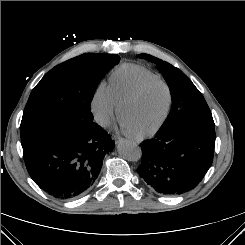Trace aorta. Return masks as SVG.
<instances>
[{"mask_svg":"<svg viewBox=\"0 0 245 245\" xmlns=\"http://www.w3.org/2000/svg\"><path fill=\"white\" fill-rule=\"evenodd\" d=\"M119 155L132 162L140 160L142 156L141 148L134 142L123 140L118 144Z\"/></svg>","mask_w":245,"mask_h":245,"instance_id":"762f6f07","label":"aorta"}]
</instances>
